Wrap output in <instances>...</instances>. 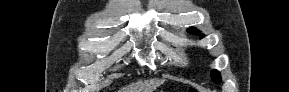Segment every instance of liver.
Masks as SVG:
<instances>
[{"label": "liver", "mask_w": 289, "mask_h": 92, "mask_svg": "<svg viewBox=\"0 0 289 92\" xmlns=\"http://www.w3.org/2000/svg\"><path fill=\"white\" fill-rule=\"evenodd\" d=\"M165 82L164 79H150L147 81H140L130 87L123 88L122 92H153L157 87Z\"/></svg>", "instance_id": "1"}]
</instances>
